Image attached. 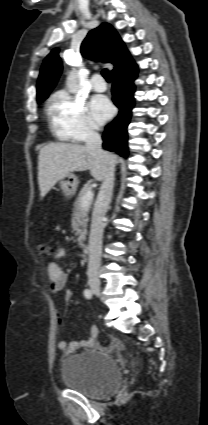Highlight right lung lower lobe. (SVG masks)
<instances>
[{"label": "right lung lower lobe", "instance_id": "98d812e1", "mask_svg": "<svg viewBox=\"0 0 208 425\" xmlns=\"http://www.w3.org/2000/svg\"><path fill=\"white\" fill-rule=\"evenodd\" d=\"M138 67L134 63L130 67L112 74L113 102L119 108L118 116L106 126L103 134V148L113 151L123 157L128 156L127 126L130 123L134 107V80L137 78Z\"/></svg>", "mask_w": 208, "mask_h": 425}]
</instances>
